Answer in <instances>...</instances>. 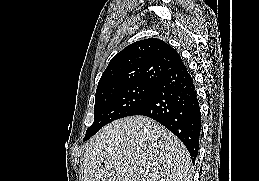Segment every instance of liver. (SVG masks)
Wrapping results in <instances>:
<instances>
[{
  "instance_id": "liver-1",
  "label": "liver",
  "mask_w": 259,
  "mask_h": 181,
  "mask_svg": "<svg viewBox=\"0 0 259 181\" xmlns=\"http://www.w3.org/2000/svg\"><path fill=\"white\" fill-rule=\"evenodd\" d=\"M84 181H192L188 150L168 129L144 116L111 122L90 141Z\"/></svg>"
}]
</instances>
